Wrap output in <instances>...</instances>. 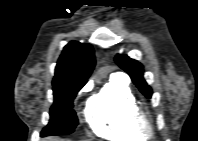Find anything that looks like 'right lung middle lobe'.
Returning a JSON list of instances; mask_svg holds the SVG:
<instances>
[{
	"label": "right lung middle lobe",
	"mask_w": 198,
	"mask_h": 141,
	"mask_svg": "<svg viewBox=\"0 0 198 141\" xmlns=\"http://www.w3.org/2000/svg\"><path fill=\"white\" fill-rule=\"evenodd\" d=\"M85 83L53 84L54 103L50 109L49 124L41 136L67 135L74 131L78 119L73 110V100Z\"/></svg>",
	"instance_id": "obj_1"
}]
</instances>
